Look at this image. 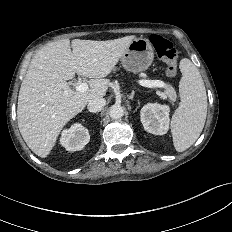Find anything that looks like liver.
<instances>
[{
	"instance_id": "liver-1",
	"label": "liver",
	"mask_w": 232,
	"mask_h": 232,
	"mask_svg": "<svg viewBox=\"0 0 232 232\" xmlns=\"http://www.w3.org/2000/svg\"><path fill=\"white\" fill-rule=\"evenodd\" d=\"M134 39V35L106 41L74 39L70 47L66 38L35 54L20 87L17 119L24 141L36 155L47 157L62 128L90 100L105 96L110 84L105 77ZM76 73L92 78L87 91H74L66 82Z\"/></svg>"
}]
</instances>
